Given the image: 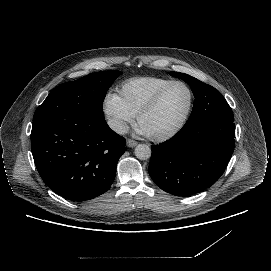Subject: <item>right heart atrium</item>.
<instances>
[{
    "label": "right heart atrium",
    "mask_w": 271,
    "mask_h": 271,
    "mask_svg": "<svg viewBox=\"0 0 271 271\" xmlns=\"http://www.w3.org/2000/svg\"><path fill=\"white\" fill-rule=\"evenodd\" d=\"M102 110L108 119L110 127L117 133H124L134 116L124 106L120 96L108 91L102 100Z\"/></svg>",
    "instance_id": "obj_1"
}]
</instances>
